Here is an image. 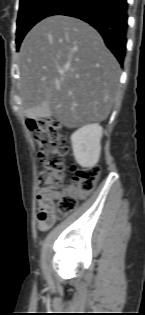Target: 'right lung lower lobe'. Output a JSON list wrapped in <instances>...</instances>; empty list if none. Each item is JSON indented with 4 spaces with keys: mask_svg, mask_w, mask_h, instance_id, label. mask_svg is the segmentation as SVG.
<instances>
[{
    "mask_svg": "<svg viewBox=\"0 0 145 315\" xmlns=\"http://www.w3.org/2000/svg\"><path fill=\"white\" fill-rule=\"evenodd\" d=\"M127 10V0H66L50 16H71L89 23L99 31L106 46L123 64L127 42Z\"/></svg>",
    "mask_w": 145,
    "mask_h": 315,
    "instance_id": "obj_1",
    "label": "right lung lower lobe"
}]
</instances>
